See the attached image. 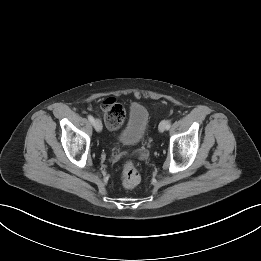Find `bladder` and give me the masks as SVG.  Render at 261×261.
Wrapping results in <instances>:
<instances>
[{"label": "bladder", "instance_id": "bladder-1", "mask_svg": "<svg viewBox=\"0 0 261 261\" xmlns=\"http://www.w3.org/2000/svg\"><path fill=\"white\" fill-rule=\"evenodd\" d=\"M149 119V112L145 106L139 103L132 104L127 121L119 132V142L125 146H136L141 143L147 134Z\"/></svg>", "mask_w": 261, "mask_h": 261}]
</instances>
